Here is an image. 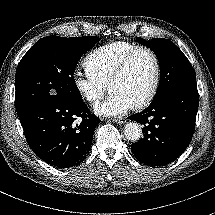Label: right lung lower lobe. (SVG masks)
Masks as SVG:
<instances>
[{
  "instance_id": "1",
  "label": "right lung lower lobe",
  "mask_w": 215,
  "mask_h": 215,
  "mask_svg": "<svg viewBox=\"0 0 215 215\" xmlns=\"http://www.w3.org/2000/svg\"><path fill=\"white\" fill-rule=\"evenodd\" d=\"M17 114L30 148L57 168H69L85 159L100 122L83 101L60 98L33 101ZM77 118L79 124L75 125Z\"/></svg>"
}]
</instances>
